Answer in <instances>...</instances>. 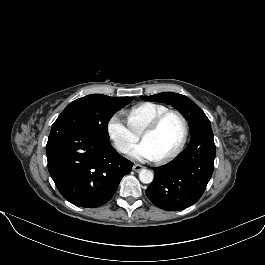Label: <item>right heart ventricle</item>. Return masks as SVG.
<instances>
[{
	"mask_svg": "<svg viewBox=\"0 0 265 265\" xmlns=\"http://www.w3.org/2000/svg\"><path fill=\"white\" fill-rule=\"evenodd\" d=\"M167 110L169 109L164 105L143 102L127 112V121L131 129L139 134L147 124Z\"/></svg>",
	"mask_w": 265,
	"mask_h": 265,
	"instance_id": "right-heart-ventricle-1",
	"label": "right heart ventricle"
}]
</instances>
